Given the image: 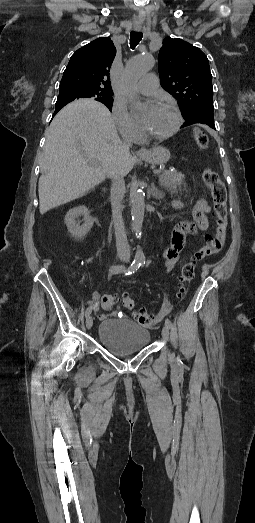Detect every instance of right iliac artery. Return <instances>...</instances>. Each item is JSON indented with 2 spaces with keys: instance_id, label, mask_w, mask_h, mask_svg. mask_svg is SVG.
Returning a JSON list of instances; mask_svg holds the SVG:
<instances>
[{
  "instance_id": "obj_1",
  "label": "right iliac artery",
  "mask_w": 255,
  "mask_h": 523,
  "mask_svg": "<svg viewBox=\"0 0 255 523\" xmlns=\"http://www.w3.org/2000/svg\"><path fill=\"white\" fill-rule=\"evenodd\" d=\"M141 266L140 261H133L131 265L128 267V269L125 271V275H129L137 271V269ZM92 308L88 307L85 312V316H89L91 313Z\"/></svg>"
}]
</instances>
